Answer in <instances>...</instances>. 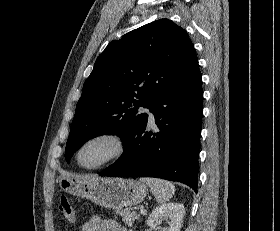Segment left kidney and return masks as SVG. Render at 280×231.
Here are the masks:
<instances>
[{"label": "left kidney", "instance_id": "left-kidney-1", "mask_svg": "<svg viewBox=\"0 0 280 231\" xmlns=\"http://www.w3.org/2000/svg\"><path fill=\"white\" fill-rule=\"evenodd\" d=\"M184 213L185 207L183 203H162V205H158L156 209H153L147 219V223L149 227L159 229V231H180ZM161 221H167L168 227H161L159 225Z\"/></svg>", "mask_w": 280, "mask_h": 231}]
</instances>
